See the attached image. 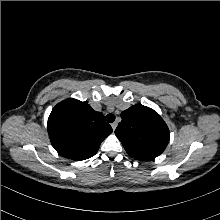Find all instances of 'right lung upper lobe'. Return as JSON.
Returning <instances> with one entry per match:
<instances>
[{
    "mask_svg": "<svg viewBox=\"0 0 220 220\" xmlns=\"http://www.w3.org/2000/svg\"><path fill=\"white\" fill-rule=\"evenodd\" d=\"M47 128L55 150L76 161L95 155L101 142L112 133L101 112L93 110L87 101L72 98L54 107Z\"/></svg>",
    "mask_w": 220,
    "mask_h": 220,
    "instance_id": "obj_1",
    "label": "right lung upper lobe"
}]
</instances>
